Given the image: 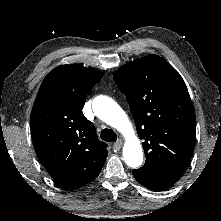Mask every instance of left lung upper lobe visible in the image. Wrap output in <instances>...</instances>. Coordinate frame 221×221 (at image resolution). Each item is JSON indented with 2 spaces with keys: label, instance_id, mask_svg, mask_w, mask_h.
<instances>
[{
  "label": "left lung upper lobe",
  "instance_id": "1",
  "mask_svg": "<svg viewBox=\"0 0 221 221\" xmlns=\"http://www.w3.org/2000/svg\"><path fill=\"white\" fill-rule=\"evenodd\" d=\"M125 94L146 162L133 170L139 181H177L195 144L196 118L187 87L158 55L136 59L113 74Z\"/></svg>",
  "mask_w": 221,
  "mask_h": 221
}]
</instances>
